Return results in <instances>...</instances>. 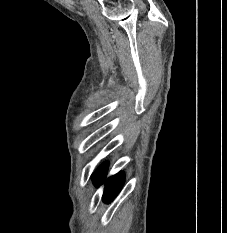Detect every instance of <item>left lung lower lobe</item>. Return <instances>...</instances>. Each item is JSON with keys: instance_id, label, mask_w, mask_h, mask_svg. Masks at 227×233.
<instances>
[{"instance_id": "0a47b994", "label": "left lung lower lobe", "mask_w": 227, "mask_h": 233, "mask_svg": "<svg viewBox=\"0 0 227 233\" xmlns=\"http://www.w3.org/2000/svg\"><path fill=\"white\" fill-rule=\"evenodd\" d=\"M106 174L107 171L105 172L102 178V182L105 180ZM123 183H124V174L122 172H119L118 174L110 177L105 184L103 201L107 203L111 202L121 190Z\"/></svg>"}]
</instances>
